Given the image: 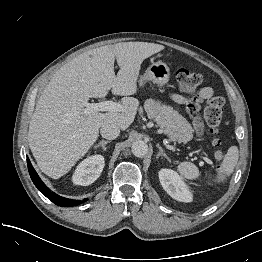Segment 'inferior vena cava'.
<instances>
[{"label": "inferior vena cava", "mask_w": 262, "mask_h": 262, "mask_svg": "<svg viewBox=\"0 0 262 262\" xmlns=\"http://www.w3.org/2000/svg\"><path fill=\"white\" fill-rule=\"evenodd\" d=\"M100 133L103 138L113 140L118 137L120 128L116 124H104L101 126Z\"/></svg>", "instance_id": "inferior-vena-cava-1"}]
</instances>
